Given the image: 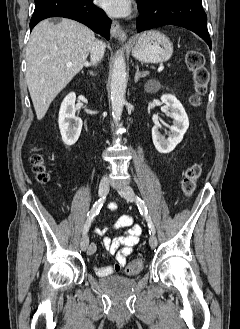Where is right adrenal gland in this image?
<instances>
[{
  "label": "right adrenal gland",
  "mask_w": 240,
  "mask_h": 329,
  "mask_svg": "<svg viewBox=\"0 0 240 329\" xmlns=\"http://www.w3.org/2000/svg\"><path fill=\"white\" fill-rule=\"evenodd\" d=\"M89 73H90L91 75H94V73H93L92 71H89Z\"/></svg>",
  "instance_id": "2a0ac1e0"
}]
</instances>
